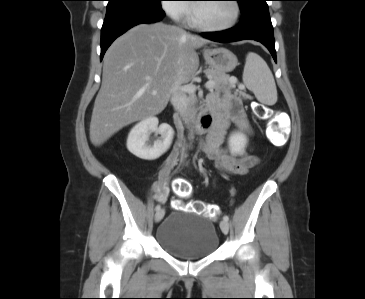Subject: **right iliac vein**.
Listing matches in <instances>:
<instances>
[{
    "label": "right iliac vein",
    "mask_w": 365,
    "mask_h": 299,
    "mask_svg": "<svg viewBox=\"0 0 365 299\" xmlns=\"http://www.w3.org/2000/svg\"><path fill=\"white\" fill-rule=\"evenodd\" d=\"M164 214H165V210L164 209L158 210L156 212V214H155V221L156 222H160L163 219Z\"/></svg>",
    "instance_id": "right-iliac-vein-1"
}]
</instances>
